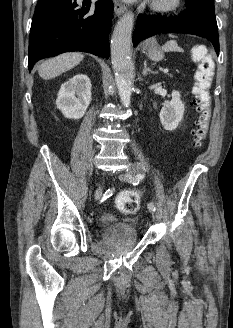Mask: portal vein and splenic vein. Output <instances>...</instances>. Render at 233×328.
<instances>
[{"label":"portal vein and splenic vein","mask_w":233,"mask_h":328,"mask_svg":"<svg viewBox=\"0 0 233 328\" xmlns=\"http://www.w3.org/2000/svg\"><path fill=\"white\" fill-rule=\"evenodd\" d=\"M162 71H163V73H169L168 69H163Z\"/></svg>","instance_id":"obj_1"}]
</instances>
